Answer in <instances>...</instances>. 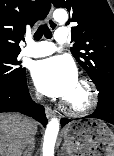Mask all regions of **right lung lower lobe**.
Returning <instances> with one entry per match:
<instances>
[{
    "instance_id": "right-lung-lower-lobe-1",
    "label": "right lung lower lobe",
    "mask_w": 114,
    "mask_h": 156,
    "mask_svg": "<svg viewBox=\"0 0 114 156\" xmlns=\"http://www.w3.org/2000/svg\"><path fill=\"white\" fill-rule=\"evenodd\" d=\"M1 112H20L39 121L44 127L47 124L44 107L33 102L30 97L26 76L21 84L15 87H0Z\"/></svg>"
}]
</instances>
